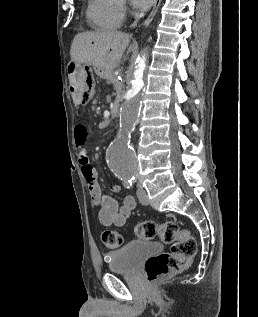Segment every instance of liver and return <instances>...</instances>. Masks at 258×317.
Segmentation results:
<instances>
[{"label":"liver","mask_w":258,"mask_h":317,"mask_svg":"<svg viewBox=\"0 0 258 317\" xmlns=\"http://www.w3.org/2000/svg\"><path fill=\"white\" fill-rule=\"evenodd\" d=\"M130 36L127 32L119 30H91V32H78L73 38L70 56L73 62L93 64L103 72H110L119 66L122 54L129 46ZM137 44H131L128 52L134 50Z\"/></svg>","instance_id":"obj_1"}]
</instances>
